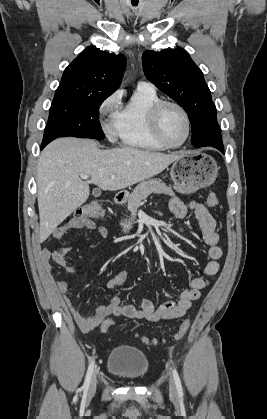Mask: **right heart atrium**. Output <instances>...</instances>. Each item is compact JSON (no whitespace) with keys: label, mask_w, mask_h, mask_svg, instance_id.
I'll return each instance as SVG.
<instances>
[{"label":"right heart atrium","mask_w":267,"mask_h":419,"mask_svg":"<svg viewBox=\"0 0 267 419\" xmlns=\"http://www.w3.org/2000/svg\"><path fill=\"white\" fill-rule=\"evenodd\" d=\"M120 103V94L118 92H115L108 96L106 99L103 100V102L99 106V115L101 117H106L111 115V119L104 123L102 128L105 133V135L109 139H114L117 130H116V123H115V116H116V108L118 107Z\"/></svg>","instance_id":"d8ad5b80"}]
</instances>
